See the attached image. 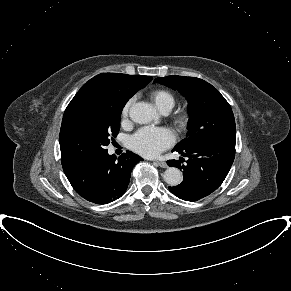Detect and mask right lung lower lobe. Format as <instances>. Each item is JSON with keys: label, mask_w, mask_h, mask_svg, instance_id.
<instances>
[{"label": "right lung lower lobe", "mask_w": 291, "mask_h": 291, "mask_svg": "<svg viewBox=\"0 0 291 291\" xmlns=\"http://www.w3.org/2000/svg\"><path fill=\"white\" fill-rule=\"evenodd\" d=\"M140 160V156L130 151L118 159L106 151L79 165L66 176L84 199L96 204L109 203L125 193L132 168Z\"/></svg>", "instance_id": "1"}]
</instances>
